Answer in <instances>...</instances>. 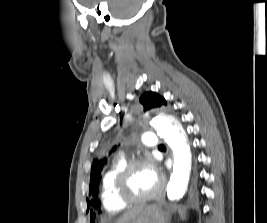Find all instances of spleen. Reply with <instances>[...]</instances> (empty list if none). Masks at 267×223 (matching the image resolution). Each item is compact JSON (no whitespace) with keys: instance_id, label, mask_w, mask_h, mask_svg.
I'll list each match as a JSON object with an SVG mask.
<instances>
[{"instance_id":"3e777b00","label":"spleen","mask_w":267,"mask_h":223,"mask_svg":"<svg viewBox=\"0 0 267 223\" xmlns=\"http://www.w3.org/2000/svg\"><path fill=\"white\" fill-rule=\"evenodd\" d=\"M181 218H182V220H184L186 218L185 214H182V212H181Z\"/></svg>"}]
</instances>
